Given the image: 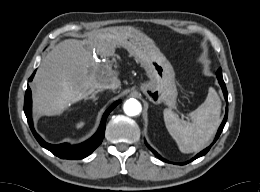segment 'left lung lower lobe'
I'll use <instances>...</instances> for the list:
<instances>
[{
	"instance_id": "1",
	"label": "left lung lower lobe",
	"mask_w": 260,
	"mask_h": 192,
	"mask_svg": "<svg viewBox=\"0 0 260 192\" xmlns=\"http://www.w3.org/2000/svg\"><path fill=\"white\" fill-rule=\"evenodd\" d=\"M217 78H218L219 84L221 85V88H222V90H223L225 100L227 101V89H226V85H225V83H224V81H223V78H222V77H217ZM227 116H228V104H227V106H226V114H225L224 120H223L222 124L220 125V127H219V129H218V132H217V134H216V137H215L213 143H212L209 147H207L206 149H204L203 151H201L199 154H197V155H196L193 159H191L190 161H187V162H185V163H182V165H183V164H187V163L191 162L192 160H195V159H197V158H199V157L205 155V154L210 150L211 146L216 142V140L218 139V137L220 136V134H221V132H222V130H223V128H224L225 122H226V120H227ZM145 144H146V146H147L160 160L165 161V162H168L167 160H165L164 158H162L155 150H153V149L147 144L146 141H145Z\"/></svg>"
}]
</instances>
